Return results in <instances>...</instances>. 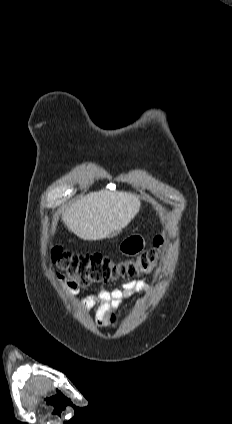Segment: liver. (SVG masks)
Listing matches in <instances>:
<instances>
[{
  "label": "liver",
  "mask_w": 232,
  "mask_h": 424,
  "mask_svg": "<svg viewBox=\"0 0 232 424\" xmlns=\"http://www.w3.org/2000/svg\"><path fill=\"white\" fill-rule=\"evenodd\" d=\"M140 209L138 196L126 192H92L62 215L67 228L84 240H100L125 228Z\"/></svg>",
  "instance_id": "liver-1"
}]
</instances>
